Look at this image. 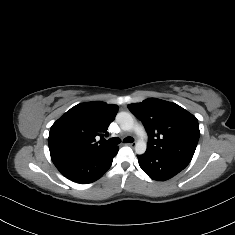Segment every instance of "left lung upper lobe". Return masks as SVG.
<instances>
[{
    "label": "left lung upper lobe",
    "mask_w": 235,
    "mask_h": 235,
    "mask_svg": "<svg viewBox=\"0 0 235 235\" xmlns=\"http://www.w3.org/2000/svg\"><path fill=\"white\" fill-rule=\"evenodd\" d=\"M128 108L148 133L147 150L191 161L200 136L195 116L175 103L157 98L129 104Z\"/></svg>",
    "instance_id": "left-lung-upper-lobe-1"
}]
</instances>
